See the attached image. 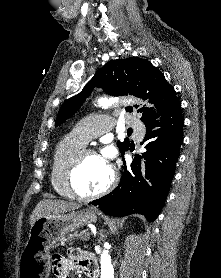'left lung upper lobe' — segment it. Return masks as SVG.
<instances>
[{"instance_id": "1", "label": "left lung upper lobe", "mask_w": 221, "mask_h": 278, "mask_svg": "<svg viewBox=\"0 0 221 278\" xmlns=\"http://www.w3.org/2000/svg\"><path fill=\"white\" fill-rule=\"evenodd\" d=\"M94 87L103 88L106 93L113 96L130 94L149 99V102L155 104L158 109L159 116H162L178 99L174 88L166 81L163 73L149 61L136 57L118 59L106 63L79 94L62 105L55 125L62 124L75 114ZM136 108L142 115V122H155L157 116L151 108H138V106ZM127 111H132V108L127 107ZM117 146L122 155L130 144L126 139L124 142L118 141Z\"/></svg>"}]
</instances>
